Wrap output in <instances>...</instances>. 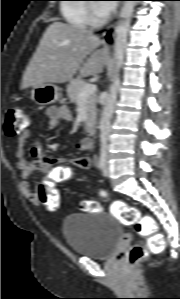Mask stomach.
I'll return each instance as SVG.
<instances>
[{"instance_id": "0dacf381", "label": "stomach", "mask_w": 180, "mask_h": 299, "mask_svg": "<svg viewBox=\"0 0 180 299\" xmlns=\"http://www.w3.org/2000/svg\"><path fill=\"white\" fill-rule=\"evenodd\" d=\"M30 93L32 100L41 106H46L55 103L61 97L60 89L52 84H42L39 86H30Z\"/></svg>"}]
</instances>
